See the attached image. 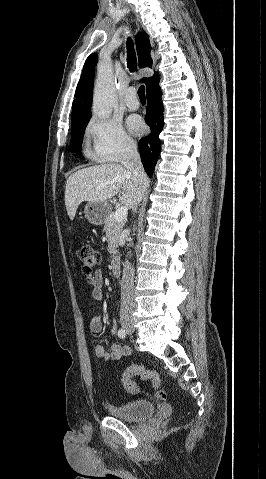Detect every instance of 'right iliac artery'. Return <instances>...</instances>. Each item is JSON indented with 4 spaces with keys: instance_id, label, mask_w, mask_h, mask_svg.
<instances>
[{
    "instance_id": "obj_1",
    "label": "right iliac artery",
    "mask_w": 266,
    "mask_h": 479,
    "mask_svg": "<svg viewBox=\"0 0 266 479\" xmlns=\"http://www.w3.org/2000/svg\"><path fill=\"white\" fill-rule=\"evenodd\" d=\"M118 337L122 338V339H124L126 337V331L123 328L119 329Z\"/></svg>"
}]
</instances>
